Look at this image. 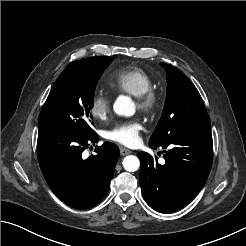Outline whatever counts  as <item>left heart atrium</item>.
Wrapping results in <instances>:
<instances>
[{
	"label": "left heart atrium",
	"instance_id": "39dd6f15",
	"mask_svg": "<svg viewBox=\"0 0 246 246\" xmlns=\"http://www.w3.org/2000/svg\"><path fill=\"white\" fill-rule=\"evenodd\" d=\"M141 129L138 121H126L107 131L105 137L124 146H135L140 141Z\"/></svg>",
	"mask_w": 246,
	"mask_h": 246
}]
</instances>
